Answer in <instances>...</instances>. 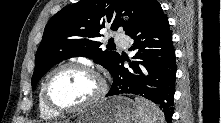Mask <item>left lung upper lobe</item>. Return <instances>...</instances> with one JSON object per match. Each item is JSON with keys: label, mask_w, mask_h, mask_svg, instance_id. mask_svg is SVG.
<instances>
[{"label": "left lung upper lobe", "mask_w": 221, "mask_h": 123, "mask_svg": "<svg viewBox=\"0 0 221 123\" xmlns=\"http://www.w3.org/2000/svg\"><path fill=\"white\" fill-rule=\"evenodd\" d=\"M154 0H81L56 13L46 25L37 50L32 88L55 64L83 56L112 71L121 57L117 52L102 50L96 41L99 31L110 25L116 31L123 27L129 34ZM122 12L130 17L121 19Z\"/></svg>", "instance_id": "obj_1"}]
</instances>
